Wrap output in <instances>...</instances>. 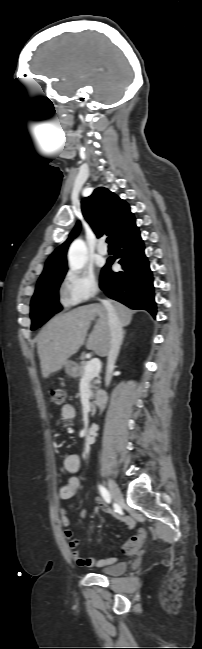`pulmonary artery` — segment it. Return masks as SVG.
I'll use <instances>...</instances> for the list:
<instances>
[{
    "mask_svg": "<svg viewBox=\"0 0 202 649\" xmlns=\"http://www.w3.org/2000/svg\"><path fill=\"white\" fill-rule=\"evenodd\" d=\"M97 251L101 255H106L108 253V248L105 245L104 241L101 240L100 243L97 246Z\"/></svg>",
    "mask_w": 202,
    "mask_h": 649,
    "instance_id": "obj_1",
    "label": "pulmonary artery"
}]
</instances>
